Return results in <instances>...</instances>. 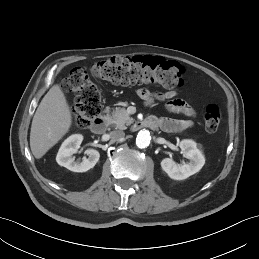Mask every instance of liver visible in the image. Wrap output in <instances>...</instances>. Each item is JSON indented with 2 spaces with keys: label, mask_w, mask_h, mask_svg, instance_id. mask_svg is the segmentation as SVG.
Instances as JSON below:
<instances>
[{
  "label": "liver",
  "mask_w": 259,
  "mask_h": 259,
  "mask_svg": "<svg viewBox=\"0 0 259 259\" xmlns=\"http://www.w3.org/2000/svg\"><path fill=\"white\" fill-rule=\"evenodd\" d=\"M72 124L70 107L61 87L53 85L41 100L32 120L30 148L40 159L69 131Z\"/></svg>",
  "instance_id": "obj_1"
}]
</instances>
